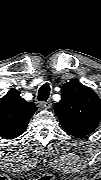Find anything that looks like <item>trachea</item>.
Returning a JSON list of instances; mask_svg holds the SVG:
<instances>
[{
    "mask_svg": "<svg viewBox=\"0 0 101 180\" xmlns=\"http://www.w3.org/2000/svg\"><path fill=\"white\" fill-rule=\"evenodd\" d=\"M50 94V86L49 84H43L40 89L38 90V100L39 101H46Z\"/></svg>",
    "mask_w": 101,
    "mask_h": 180,
    "instance_id": "1",
    "label": "trachea"
}]
</instances>
